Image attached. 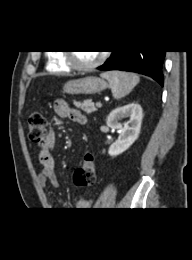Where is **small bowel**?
Instances as JSON below:
<instances>
[{"label":"small bowel","mask_w":192,"mask_h":260,"mask_svg":"<svg viewBox=\"0 0 192 260\" xmlns=\"http://www.w3.org/2000/svg\"><path fill=\"white\" fill-rule=\"evenodd\" d=\"M54 110L59 117L69 118L79 124L86 123V117L78 110L72 109L62 99H57L54 102ZM55 143V135L52 131L47 133L45 143L39 153V161L41 164V170L38 176V181L42 187L50 184L52 187H58L59 181L55 172V160L51 153ZM93 201L91 199H79L74 203V207L77 210H87L92 206Z\"/></svg>","instance_id":"1"}]
</instances>
